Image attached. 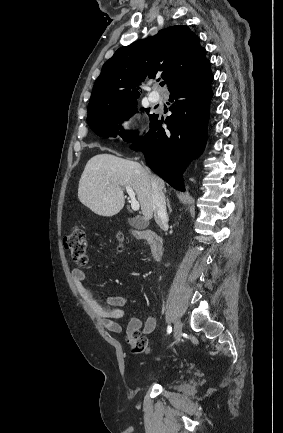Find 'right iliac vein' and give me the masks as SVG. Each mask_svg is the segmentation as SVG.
<instances>
[{"instance_id":"right-iliac-vein-1","label":"right iliac vein","mask_w":283,"mask_h":433,"mask_svg":"<svg viewBox=\"0 0 283 433\" xmlns=\"http://www.w3.org/2000/svg\"><path fill=\"white\" fill-rule=\"evenodd\" d=\"M182 331V323L177 320L174 326V340L177 341Z\"/></svg>"}]
</instances>
